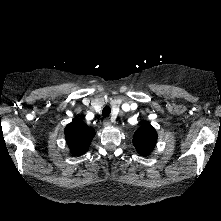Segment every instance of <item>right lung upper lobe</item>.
I'll return each mask as SVG.
<instances>
[{
    "label": "right lung upper lobe",
    "instance_id": "obj_1",
    "mask_svg": "<svg viewBox=\"0 0 221 221\" xmlns=\"http://www.w3.org/2000/svg\"><path fill=\"white\" fill-rule=\"evenodd\" d=\"M94 135V129L81 119H74L65 128L66 141L74 156H80L88 150Z\"/></svg>",
    "mask_w": 221,
    "mask_h": 221
}]
</instances>
